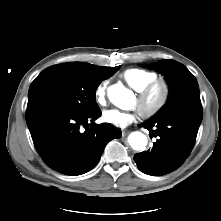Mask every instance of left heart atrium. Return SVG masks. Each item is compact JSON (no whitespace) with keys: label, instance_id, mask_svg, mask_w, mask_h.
Returning <instances> with one entry per match:
<instances>
[{"label":"left heart atrium","instance_id":"1","mask_svg":"<svg viewBox=\"0 0 221 221\" xmlns=\"http://www.w3.org/2000/svg\"><path fill=\"white\" fill-rule=\"evenodd\" d=\"M137 117L135 112H125L118 109L106 110L103 113V119L105 122L114 126L125 128L132 123Z\"/></svg>","mask_w":221,"mask_h":221}]
</instances>
